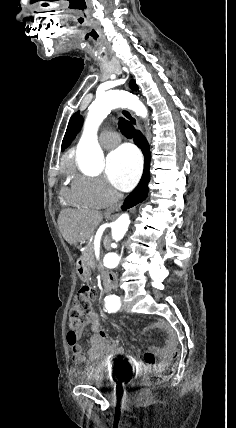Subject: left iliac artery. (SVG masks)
<instances>
[{
	"instance_id": "left-iliac-artery-1",
	"label": "left iliac artery",
	"mask_w": 236,
	"mask_h": 428,
	"mask_svg": "<svg viewBox=\"0 0 236 428\" xmlns=\"http://www.w3.org/2000/svg\"><path fill=\"white\" fill-rule=\"evenodd\" d=\"M104 300H105L106 312L108 311V313H111L119 310L121 306V302L118 296L116 295L106 296Z\"/></svg>"
}]
</instances>
